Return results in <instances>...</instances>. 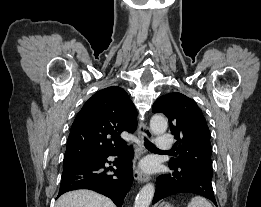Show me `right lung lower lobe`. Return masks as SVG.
I'll return each instance as SVG.
<instances>
[{
  "label": "right lung lower lobe",
  "instance_id": "obj_1",
  "mask_svg": "<svg viewBox=\"0 0 261 207\" xmlns=\"http://www.w3.org/2000/svg\"><path fill=\"white\" fill-rule=\"evenodd\" d=\"M109 156L117 157L115 169L105 167V163L111 164L107 160ZM132 158L133 150L124 147L99 155L91 162L64 167L57 198L67 191L90 189L109 197L117 207H122L133 183ZM109 170L114 174H110Z\"/></svg>",
  "mask_w": 261,
  "mask_h": 207
}]
</instances>
